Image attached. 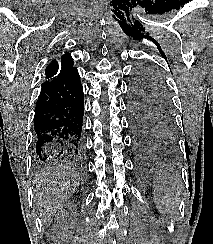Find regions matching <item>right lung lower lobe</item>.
<instances>
[{"label": "right lung lower lobe", "instance_id": "right-lung-lower-lobe-1", "mask_svg": "<svg viewBox=\"0 0 213 244\" xmlns=\"http://www.w3.org/2000/svg\"><path fill=\"white\" fill-rule=\"evenodd\" d=\"M83 115V88L77 69L43 83L34 116L38 158L80 160L84 150Z\"/></svg>", "mask_w": 213, "mask_h": 244}]
</instances>
